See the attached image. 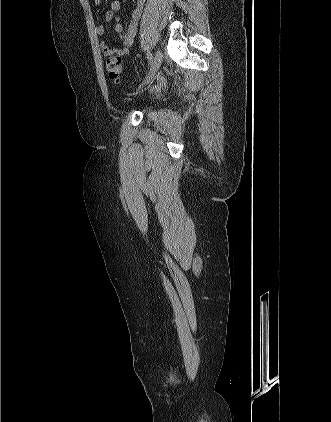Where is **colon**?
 Returning a JSON list of instances; mask_svg holds the SVG:
<instances>
[{"instance_id":"obj_1","label":"colon","mask_w":331,"mask_h":422,"mask_svg":"<svg viewBox=\"0 0 331 422\" xmlns=\"http://www.w3.org/2000/svg\"><path fill=\"white\" fill-rule=\"evenodd\" d=\"M123 71L122 61L120 57H113L107 60L106 72L108 78L114 82H119Z\"/></svg>"}]
</instances>
